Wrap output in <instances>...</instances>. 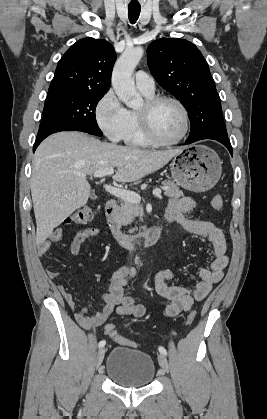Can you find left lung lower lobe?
I'll return each instance as SVG.
<instances>
[{"label": "left lung lower lobe", "instance_id": "0a47b994", "mask_svg": "<svg viewBox=\"0 0 267 419\" xmlns=\"http://www.w3.org/2000/svg\"><path fill=\"white\" fill-rule=\"evenodd\" d=\"M203 139H213L222 143L232 155V147L230 141L228 139L227 134H223L222 136H215L213 134V130L210 128L209 124L205 121L201 123H197L195 126L191 127L189 137L186 140V144H191L193 142L203 140Z\"/></svg>", "mask_w": 267, "mask_h": 419}]
</instances>
